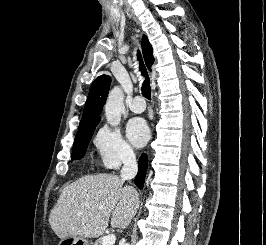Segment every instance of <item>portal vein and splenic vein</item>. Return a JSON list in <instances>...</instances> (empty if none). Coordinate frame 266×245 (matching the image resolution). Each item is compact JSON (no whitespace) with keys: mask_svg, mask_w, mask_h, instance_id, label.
Returning a JSON list of instances; mask_svg holds the SVG:
<instances>
[{"mask_svg":"<svg viewBox=\"0 0 266 245\" xmlns=\"http://www.w3.org/2000/svg\"><path fill=\"white\" fill-rule=\"evenodd\" d=\"M100 209H103V207H100ZM115 241V235H107V237H103L101 245H115Z\"/></svg>","mask_w":266,"mask_h":245,"instance_id":"1","label":"portal vein and splenic vein"}]
</instances>
